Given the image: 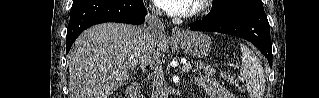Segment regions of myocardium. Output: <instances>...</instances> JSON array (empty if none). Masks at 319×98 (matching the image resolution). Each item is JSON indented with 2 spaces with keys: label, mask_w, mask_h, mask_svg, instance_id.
Wrapping results in <instances>:
<instances>
[{
  "label": "myocardium",
  "mask_w": 319,
  "mask_h": 98,
  "mask_svg": "<svg viewBox=\"0 0 319 98\" xmlns=\"http://www.w3.org/2000/svg\"><path fill=\"white\" fill-rule=\"evenodd\" d=\"M208 1H205V0H200V1H197L194 8H193V12L192 14H200L202 13L205 8H206V4H207Z\"/></svg>",
  "instance_id": "obj_1"
}]
</instances>
